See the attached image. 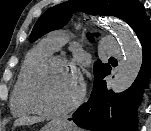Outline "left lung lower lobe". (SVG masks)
<instances>
[{
  "label": "left lung lower lobe",
  "mask_w": 151,
  "mask_h": 131,
  "mask_svg": "<svg viewBox=\"0 0 151 131\" xmlns=\"http://www.w3.org/2000/svg\"><path fill=\"white\" fill-rule=\"evenodd\" d=\"M151 21L144 6L138 11L130 25L138 36L143 50L140 72L127 90L114 94L106 86L105 77L111 73V66L94 79L90 98L73 114V122L81 128L92 131H137V108L143 89L148 86L151 75Z\"/></svg>",
  "instance_id": "1"
}]
</instances>
